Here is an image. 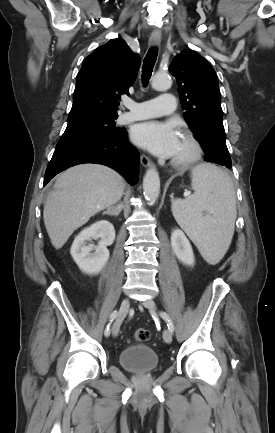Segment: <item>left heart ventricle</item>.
I'll return each instance as SVG.
<instances>
[{"mask_svg": "<svg viewBox=\"0 0 275 433\" xmlns=\"http://www.w3.org/2000/svg\"><path fill=\"white\" fill-rule=\"evenodd\" d=\"M190 152V147L186 140L181 136L179 139V143L177 146V150L173 158H184L186 157Z\"/></svg>", "mask_w": 275, "mask_h": 433, "instance_id": "b2bd125f", "label": "left heart ventricle"}]
</instances>
